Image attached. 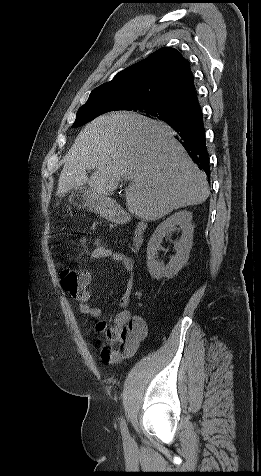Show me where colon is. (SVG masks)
<instances>
[{
    "label": "colon",
    "instance_id": "1",
    "mask_svg": "<svg viewBox=\"0 0 261 476\" xmlns=\"http://www.w3.org/2000/svg\"><path fill=\"white\" fill-rule=\"evenodd\" d=\"M89 281L90 276L86 271H77L74 268L66 267L60 273L61 286L70 294L78 292ZM97 330L106 340L116 341L120 334L119 330L108 327L104 322L97 325ZM99 344L102 345V340H99ZM106 346L109 345H102V348Z\"/></svg>",
    "mask_w": 261,
    "mask_h": 476
}]
</instances>
